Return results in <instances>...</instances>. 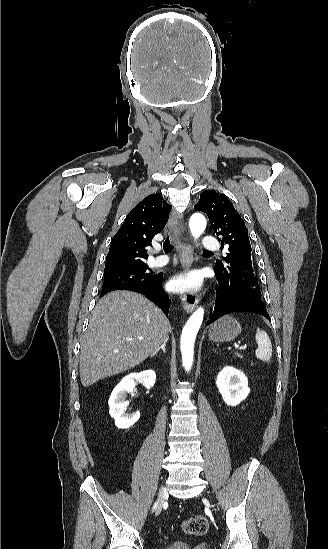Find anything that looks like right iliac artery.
Wrapping results in <instances>:
<instances>
[{"mask_svg":"<svg viewBox=\"0 0 328 549\" xmlns=\"http://www.w3.org/2000/svg\"><path fill=\"white\" fill-rule=\"evenodd\" d=\"M156 506H157V505H156V503H155V505H154L153 509H155V508H156Z\"/></svg>","mask_w":328,"mask_h":549,"instance_id":"obj_1","label":"right iliac artery"}]
</instances>
